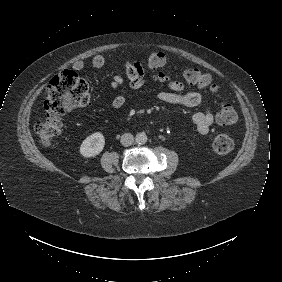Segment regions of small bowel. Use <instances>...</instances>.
<instances>
[{"instance_id": "obj_1", "label": "small bowel", "mask_w": 282, "mask_h": 282, "mask_svg": "<svg viewBox=\"0 0 282 282\" xmlns=\"http://www.w3.org/2000/svg\"><path fill=\"white\" fill-rule=\"evenodd\" d=\"M91 63L94 68H102L105 65V58L103 55L97 54L92 58ZM84 67L85 63L82 60H78L73 64V68L77 71L82 70ZM125 69L129 86L132 89L140 88L147 81H155L165 85L167 90H160L156 94L157 100L163 104L196 107L202 102V95L199 92L186 91L181 82L171 78L166 73L158 72L145 75L139 62H126ZM124 82L125 76L117 74L113 77L110 87L113 90L120 91ZM126 100V95L120 92L113 97L111 107L120 109L125 105ZM214 119V114L209 108L196 112L192 116L198 133L203 136L208 134Z\"/></svg>"}]
</instances>
